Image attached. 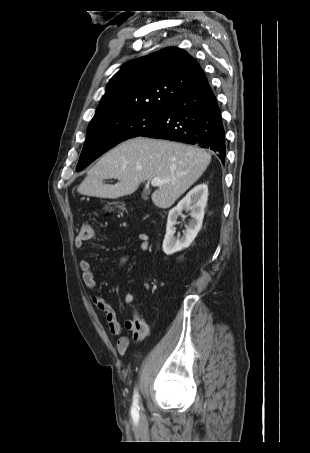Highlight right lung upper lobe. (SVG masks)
<instances>
[{
	"instance_id": "right-lung-upper-lobe-1",
	"label": "right lung upper lobe",
	"mask_w": 310,
	"mask_h": 453,
	"mask_svg": "<svg viewBox=\"0 0 310 453\" xmlns=\"http://www.w3.org/2000/svg\"><path fill=\"white\" fill-rule=\"evenodd\" d=\"M204 77L195 59L177 47L129 61L109 81L91 121L121 112L164 110Z\"/></svg>"
}]
</instances>
